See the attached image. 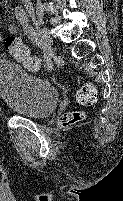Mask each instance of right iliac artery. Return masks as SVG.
<instances>
[{
	"label": "right iliac artery",
	"mask_w": 123,
	"mask_h": 201,
	"mask_svg": "<svg viewBox=\"0 0 123 201\" xmlns=\"http://www.w3.org/2000/svg\"><path fill=\"white\" fill-rule=\"evenodd\" d=\"M15 16L22 24L24 32L28 36V38L43 50L47 70H52L53 63L51 61V52L45 46L42 36L38 34L35 30H33L32 27L29 26L27 15L24 9L20 6H17L15 8Z\"/></svg>",
	"instance_id": "right-iliac-artery-1"
}]
</instances>
